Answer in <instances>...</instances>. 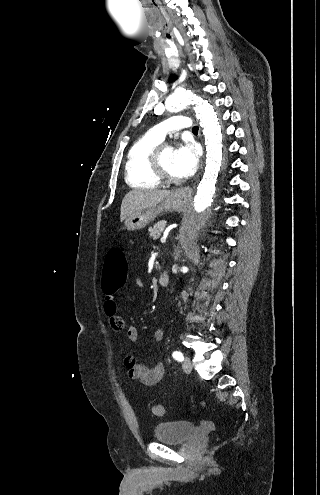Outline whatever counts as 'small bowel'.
I'll return each instance as SVG.
<instances>
[{
  "label": "small bowel",
  "instance_id": "obj_1",
  "mask_svg": "<svg viewBox=\"0 0 320 495\" xmlns=\"http://www.w3.org/2000/svg\"><path fill=\"white\" fill-rule=\"evenodd\" d=\"M136 284L137 286H142V282L139 279L136 280ZM114 293L115 292L106 293L103 310L105 315L109 318L111 328L115 331H121L125 328V324L118 314V306ZM126 335L131 343H136L139 339L138 330L133 325L127 326ZM164 336V328H158L155 331V338L158 341L163 340ZM124 365L130 378L137 379L146 386H152L158 383L165 373V367L162 363H158L154 367H146L137 363L136 358L133 355L125 356Z\"/></svg>",
  "mask_w": 320,
  "mask_h": 495
}]
</instances>
